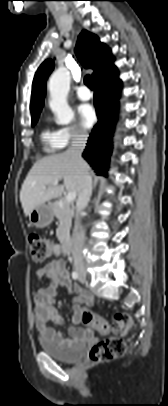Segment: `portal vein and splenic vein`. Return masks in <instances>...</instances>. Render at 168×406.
I'll return each mask as SVG.
<instances>
[{
	"label": "portal vein and splenic vein",
	"instance_id": "18ae733b",
	"mask_svg": "<svg viewBox=\"0 0 168 406\" xmlns=\"http://www.w3.org/2000/svg\"><path fill=\"white\" fill-rule=\"evenodd\" d=\"M51 185L52 186L58 185V181L53 182ZM75 198H76V193L75 192H69L67 194V196H66V201L70 203V202H73L75 200Z\"/></svg>",
	"mask_w": 168,
	"mask_h": 406
}]
</instances>
